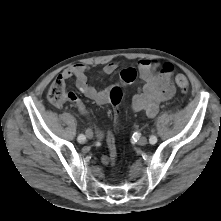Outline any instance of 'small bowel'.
<instances>
[{
  "label": "small bowel",
  "mask_w": 221,
  "mask_h": 221,
  "mask_svg": "<svg viewBox=\"0 0 221 221\" xmlns=\"http://www.w3.org/2000/svg\"><path fill=\"white\" fill-rule=\"evenodd\" d=\"M159 64L150 59H140L136 68L130 67L122 71L121 82L131 84L137 78L142 81L138 92L133 95L131 108L137 112H144L147 116L153 117L157 114L162 102L171 99L175 93V86L170 74L157 71ZM117 70V64L107 63L101 71L102 75H110ZM88 67L85 64L78 63L62 71L56 79L66 82L74 77L76 88L86 98L99 105L112 103L110 99V90L113 86L99 89L92 86L87 78ZM82 114L89 115L88 109L80 101L78 104L72 103ZM101 162L107 165L111 162V156L102 155Z\"/></svg>",
  "instance_id": "c3829d8e"
}]
</instances>
